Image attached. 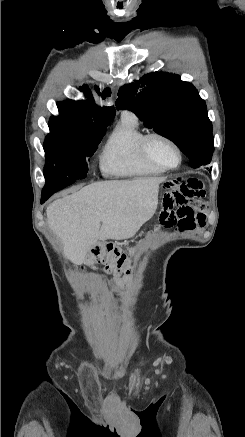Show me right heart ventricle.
Returning a JSON list of instances; mask_svg holds the SVG:
<instances>
[{
	"label": "right heart ventricle",
	"mask_w": 245,
	"mask_h": 437,
	"mask_svg": "<svg viewBox=\"0 0 245 437\" xmlns=\"http://www.w3.org/2000/svg\"><path fill=\"white\" fill-rule=\"evenodd\" d=\"M144 135V131L133 116L123 115L104 149L101 160L103 171L116 176L164 173V169L151 164L141 154L140 142Z\"/></svg>",
	"instance_id": "right-heart-ventricle-1"
}]
</instances>
